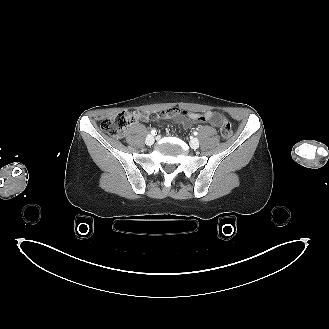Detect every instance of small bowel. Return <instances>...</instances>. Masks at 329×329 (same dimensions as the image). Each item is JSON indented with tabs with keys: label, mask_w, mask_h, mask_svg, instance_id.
Returning a JSON list of instances; mask_svg holds the SVG:
<instances>
[{
	"label": "small bowel",
	"mask_w": 329,
	"mask_h": 329,
	"mask_svg": "<svg viewBox=\"0 0 329 329\" xmlns=\"http://www.w3.org/2000/svg\"><path fill=\"white\" fill-rule=\"evenodd\" d=\"M135 115L137 119H141L143 121L148 120V115L146 114L137 112ZM153 115L156 117H162L163 119H173L185 128L191 127L196 122L210 123L213 126H218L220 121L225 120L220 114L213 111H207L199 114L181 110L179 108L166 109L161 112H156Z\"/></svg>",
	"instance_id": "obj_1"
}]
</instances>
